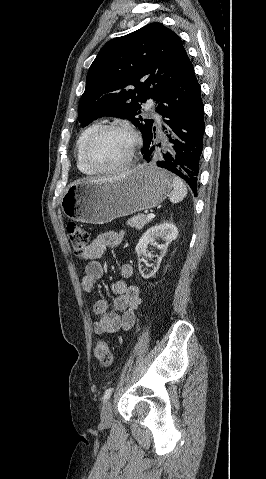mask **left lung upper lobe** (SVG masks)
Listing matches in <instances>:
<instances>
[{"instance_id": "5c2ea615", "label": "left lung upper lobe", "mask_w": 266, "mask_h": 479, "mask_svg": "<svg viewBox=\"0 0 266 479\" xmlns=\"http://www.w3.org/2000/svg\"><path fill=\"white\" fill-rule=\"evenodd\" d=\"M190 65L179 36L161 23L110 40L88 71L79 123L84 127L102 116L126 118L138 127L144 142L153 120L140 116V103L148 98L161 102Z\"/></svg>"}]
</instances>
